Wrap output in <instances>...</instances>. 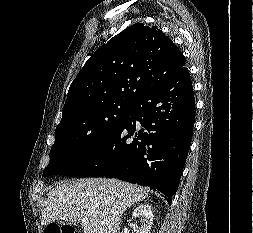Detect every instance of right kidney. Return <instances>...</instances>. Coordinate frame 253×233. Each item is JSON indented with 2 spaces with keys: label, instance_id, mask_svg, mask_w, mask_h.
<instances>
[{
  "label": "right kidney",
  "instance_id": "1",
  "mask_svg": "<svg viewBox=\"0 0 253 233\" xmlns=\"http://www.w3.org/2000/svg\"><path fill=\"white\" fill-rule=\"evenodd\" d=\"M137 217L142 218V225L137 227V233H150L154 217L151 206L149 204L137 206L132 212V219Z\"/></svg>",
  "mask_w": 253,
  "mask_h": 233
}]
</instances>
